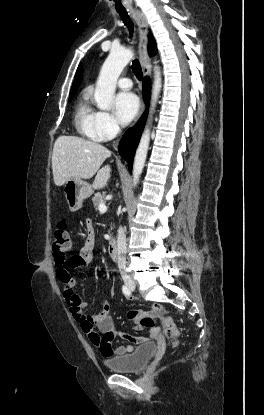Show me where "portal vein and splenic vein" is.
Wrapping results in <instances>:
<instances>
[{
	"instance_id": "1",
	"label": "portal vein and splenic vein",
	"mask_w": 264,
	"mask_h": 415,
	"mask_svg": "<svg viewBox=\"0 0 264 415\" xmlns=\"http://www.w3.org/2000/svg\"><path fill=\"white\" fill-rule=\"evenodd\" d=\"M98 209L100 213H105L107 211V206L105 204H100Z\"/></svg>"
}]
</instances>
